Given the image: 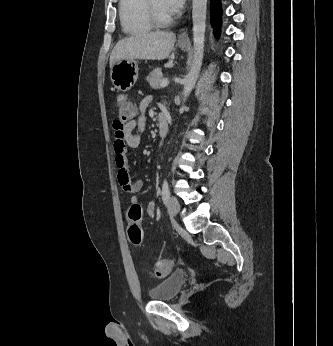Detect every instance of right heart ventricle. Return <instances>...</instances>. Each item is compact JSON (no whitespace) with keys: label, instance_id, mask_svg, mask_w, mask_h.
<instances>
[{"label":"right heart ventricle","instance_id":"right-heart-ventricle-1","mask_svg":"<svg viewBox=\"0 0 333 346\" xmlns=\"http://www.w3.org/2000/svg\"><path fill=\"white\" fill-rule=\"evenodd\" d=\"M119 19L122 30L129 35L145 33L153 28L146 0H119Z\"/></svg>","mask_w":333,"mask_h":346}]
</instances>
